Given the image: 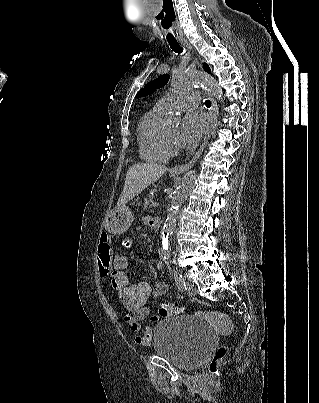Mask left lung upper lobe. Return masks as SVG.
Masks as SVG:
<instances>
[{"label": "left lung upper lobe", "instance_id": "obj_1", "mask_svg": "<svg viewBox=\"0 0 319 403\" xmlns=\"http://www.w3.org/2000/svg\"><path fill=\"white\" fill-rule=\"evenodd\" d=\"M204 68H206L207 70H209V67L207 64H204ZM169 80V75L168 74H164L159 76L158 78H156L155 80L149 82L143 89H141L138 94L136 95V97H143V96H147L151 93H153L154 91H156V89L158 88H162L163 86H165L168 83Z\"/></svg>", "mask_w": 319, "mask_h": 403}]
</instances>
